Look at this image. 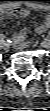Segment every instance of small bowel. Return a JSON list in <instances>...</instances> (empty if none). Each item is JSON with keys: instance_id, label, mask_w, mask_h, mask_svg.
Masks as SVG:
<instances>
[{"instance_id": "small-bowel-1", "label": "small bowel", "mask_w": 50, "mask_h": 111, "mask_svg": "<svg viewBox=\"0 0 50 111\" xmlns=\"http://www.w3.org/2000/svg\"><path fill=\"white\" fill-rule=\"evenodd\" d=\"M39 8H45V7H42V6H39ZM10 10L12 12H17L19 13V16L20 17H26L28 14H29V11L27 9H20L18 6H13L10 8ZM50 22H49V17H47L46 21L44 23H42L38 28H37V31L38 32H42L44 31L48 26H49ZM25 33L20 31L18 33H16L14 35V39L16 42H20L23 37H24Z\"/></svg>"}]
</instances>
